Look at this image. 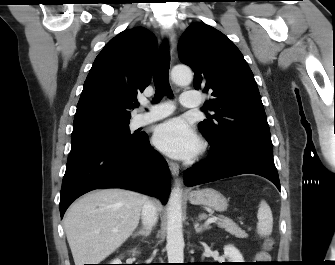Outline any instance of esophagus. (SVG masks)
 I'll list each match as a JSON object with an SVG mask.
<instances>
[{
	"label": "esophagus",
	"mask_w": 335,
	"mask_h": 265,
	"mask_svg": "<svg viewBox=\"0 0 335 265\" xmlns=\"http://www.w3.org/2000/svg\"><path fill=\"white\" fill-rule=\"evenodd\" d=\"M162 37L166 39L169 43V49L172 53L176 47V35L172 28H162L161 30ZM170 171L174 177H177L179 174V165L176 162L168 161Z\"/></svg>",
	"instance_id": "34e87169"
}]
</instances>
